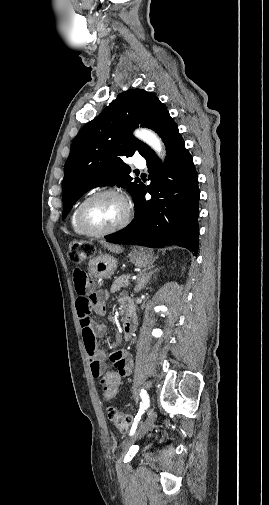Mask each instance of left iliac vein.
Returning a JSON list of instances; mask_svg holds the SVG:
<instances>
[{"instance_id":"left-iliac-vein-1","label":"left iliac vein","mask_w":269,"mask_h":505,"mask_svg":"<svg viewBox=\"0 0 269 505\" xmlns=\"http://www.w3.org/2000/svg\"><path fill=\"white\" fill-rule=\"evenodd\" d=\"M156 417H157L156 412L153 410H150L147 418L143 422H141V424L139 425V427L135 431V433L128 440H126L123 443L122 448L124 450H127L138 439L143 437L148 432V430L151 428V426L154 424Z\"/></svg>"}]
</instances>
